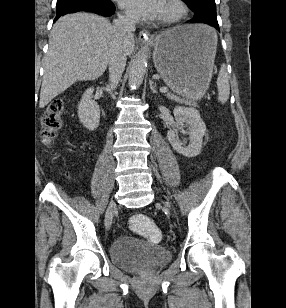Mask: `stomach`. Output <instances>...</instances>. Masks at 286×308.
I'll return each instance as SVG.
<instances>
[{
	"label": "stomach",
	"instance_id": "0dacf381",
	"mask_svg": "<svg viewBox=\"0 0 286 308\" xmlns=\"http://www.w3.org/2000/svg\"><path fill=\"white\" fill-rule=\"evenodd\" d=\"M217 34L205 24H186L158 35L154 64L174 91L198 99L212 77Z\"/></svg>",
	"mask_w": 286,
	"mask_h": 308
}]
</instances>
